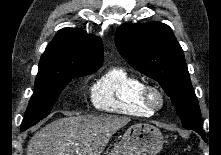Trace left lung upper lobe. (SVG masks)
<instances>
[{"instance_id":"5c2ea615","label":"left lung upper lobe","mask_w":221,"mask_h":155,"mask_svg":"<svg viewBox=\"0 0 221 155\" xmlns=\"http://www.w3.org/2000/svg\"><path fill=\"white\" fill-rule=\"evenodd\" d=\"M116 46L135 69L155 79L171 98L186 129L202 130L200 108L191 85L183 50L172 29L161 22L123 24Z\"/></svg>"}]
</instances>
